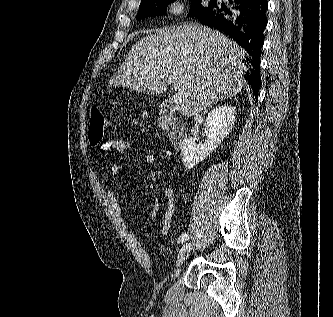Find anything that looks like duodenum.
Segmentation results:
<instances>
[{"label": "duodenum", "mask_w": 333, "mask_h": 317, "mask_svg": "<svg viewBox=\"0 0 333 317\" xmlns=\"http://www.w3.org/2000/svg\"><path fill=\"white\" fill-rule=\"evenodd\" d=\"M159 114L162 123L167 128L172 146L177 150L181 149L187 138V132L184 125L174 117L172 105L169 102H161Z\"/></svg>", "instance_id": "obj_1"}]
</instances>
